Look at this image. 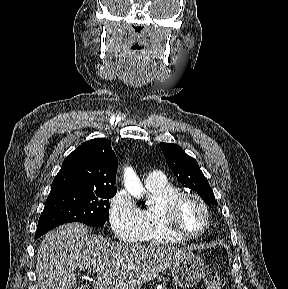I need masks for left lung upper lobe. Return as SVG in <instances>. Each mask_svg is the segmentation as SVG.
Wrapping results in <instances>:
<instances>
[{"mask_svg": "<svg viewBox=\"0 0 288 289\" xmlns=\"http://www.w3.org/2000/svg\"><path fill=\"white\" fill-rule=\"evenodd\" d=\"M160 148L180 183L195 190L208 205H217L214 193L197 161L176 144L161 143Z\"/></svg>", "mask_w": 288, "mask_h": 289, "instance_id": "left-lung-upper-lobe-1", "label": "left lung upper lobe"}]
</instances>
